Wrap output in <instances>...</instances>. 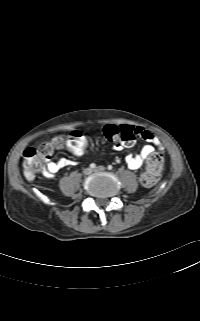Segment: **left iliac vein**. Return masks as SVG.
Masks as SVG:
<instances>
[{
  "mask_svg": "<svg viewBox=\"0 0 200 321\" xmlns=\"http://www.w3.org/2000/svg\"><path fill=\"white\" fill-rule=\"evenodd\" d=\"M95 172H102V171H105V167L103 166H98L94 169Z\"/></svg>",
  "mask_w": 200,
  "mask_h": 321,
  "instance_id": "left-iliac-vein-1",
  "label": "left iliac vein"
}]
</instances>
